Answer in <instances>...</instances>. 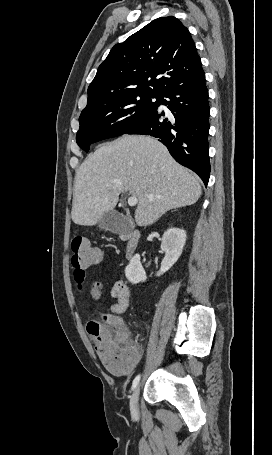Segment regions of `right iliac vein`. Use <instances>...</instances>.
<instances>
[{
    "instance_id": "1",
    "label": "right iliac vein",
    "mask_w": 272,
    "mask_h": 455,
    "mask_svg": "<svg viewBox=\"0 0 272 455\" xmlns=\"http://www.w3.org/2000/svg\"><path fill=\"white\" fill-rule=\"evenodd\" d=\"M139 394H140V385L135 388L131 399H130V410L133 415H137L139 412L138 401H139Z\"/></svg>"
}]
</instances>
